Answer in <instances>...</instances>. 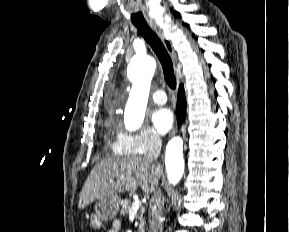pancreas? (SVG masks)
<instances>
[{
  "label": "pancreas",
  "mask_w": 289,
  "mask_h": 232,
  "mask_svg": "<svg viewBox=\"0 0 289 232\" xmlns=\"http://www.w3.org/2000/svg\"><path fill=\"white\" fill-rule=\"evenodd\" d=\"M130 209H131V200H129V199L123 200L121 202L120 214L124 216V215L129 213ZM144 212H145V209L142 208L139 215H138L139 221H140L139 232H144V223H145L144 218H143Z\"/></svg>",
  "instance_id": "obj_1"
}]
</instances>
